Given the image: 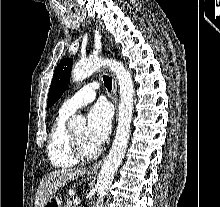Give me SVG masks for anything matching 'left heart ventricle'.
Masks as SVG:
<instances>
[{
  "label": "left heart ventricle",
  "mask_w": 220,
  "mask_h": 207,
  "mask_svg": "<svg viewBox=\"0 0 220 207\" xmlns=\"http://www.w3.org/2000/svg\"><path fill=\"white\" fill-rule=\"evenodd\" d=\"M76 138L79 140V142L81 143L83 149L88 152L91 153L93 151H95L97 148L92 145L86 138L85 136V128H80L77 129L75 131L72 132Z\"/></svg>",
  "instance_id": "obj_1"
}]
</instances>
